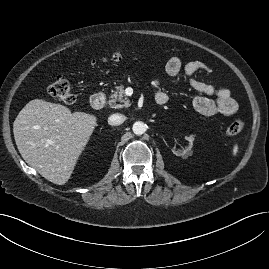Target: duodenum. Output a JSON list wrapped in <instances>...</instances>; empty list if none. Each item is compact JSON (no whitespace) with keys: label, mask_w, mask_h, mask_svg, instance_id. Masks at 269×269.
<instances>
[{"label":"duodenum","mask_w":269,"mask_h":269,"mask_svg":"<svg viewBox=\"0 0 269 269\" xmlns=\"http://www.w3.org/2000/svg\"><path fill=\"white\" fill-rule=\"evenodd\" d=\"M157 103L159 105H164L167 101V99L164 97V96H160L157 98ZM91 106L96 109V110H100L102 109L105 104H106V96L105 94L101 93V92H97V93H94L92 96H91Z\"/></svg>","instance_id":"duodenum-1"}]
</instances>
